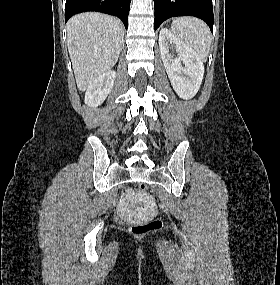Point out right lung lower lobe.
<instances>
[{"mask_svg":"<svg viewBox=\"0 0 280 285\" xmlns=\"http://www.w3.org/2000/svg\"><path fill=\"white\" fill-rule=\"evenodd\" d=\"M130 2L131 0H66L65 22L77 13L99 11L119 17L127 29Z\"/></svg>","mask_w":280,"mask_h":285,"instance_id":"98d812e1","label":"right lung lower lobe"}]
</instances>
